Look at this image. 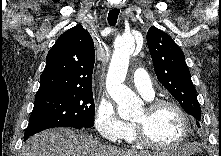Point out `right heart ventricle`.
<instances>
[{"label": "right heart ventricle", "mask_w": 221, "mask_h": 156, "mask_svg": "<svg viewBox=\"0 0 221 156\" xmlns=\"http://www.w3.org/2000/svg\"><path fill=\"white\" fill-rule=\"evenodd\" d=\"M126 139L128 141H134L135 138H134V130H133V125L132 124H129V131H128V134L126 136Z\"/></svg>", "instance_id": "e07e8e85"}]
</instances>
